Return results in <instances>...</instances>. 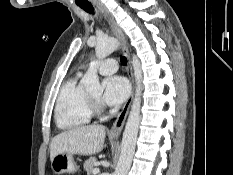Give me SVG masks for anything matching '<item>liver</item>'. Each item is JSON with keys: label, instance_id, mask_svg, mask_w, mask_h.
<instances>
[{"label": "liver", "instance_id": "obj_1", "mask_svg": "<svg viewBox=\"0 0 233 175\" xmlns=\"http://www.w3.org/2000/svg\"><path fill=\"white\" fill-rule=\"evenodd\" d=\"M106 130L102 125L79 126L55 136L50 145L51 161L58 154L93 155L104 147Z\"/></svg>", "mask_w": 233, "mask_h": 175}]
</instances>
